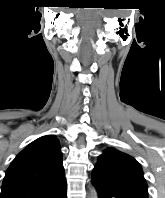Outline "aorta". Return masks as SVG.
<instances>
[{"label": "aorta", "instance_id": "762f6f07", "mask_svg": "<svg viewBox=\"0 0 165 198\" xmlns=\"http://www.w3.org/2000/svg\"><path fill=\"white\" fill-rule=\"evenodd\" d=\"M90 197H91V198H98V194H97V191H96L95 188H92V189L90 190Z\"/></svg>", "mask_w": 165, "mask_h": 198}]
</instances>
